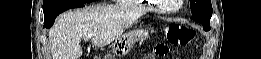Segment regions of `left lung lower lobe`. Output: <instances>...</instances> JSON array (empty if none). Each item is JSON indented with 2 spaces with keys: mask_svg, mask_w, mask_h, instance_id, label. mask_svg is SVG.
Returning a JSON list of instances; mask_svg holds the SVG:
<instances>
[{
  "mask_svg": "<svg viewBox=\"0 0 261 59\" xmlns=\"http://www.w3.org/2000/svg\"><path fill=\"white\" fill-rule=\"evenodd\" d=\"M192 19L195 20V21H198L199 23H201L203 25L205 31H209L210 30V23L204 22L202 20H198L196 18H192Z\"/></svg>",
  "mask_w": 261,
  "mask_h": 59,
  "instance_id": "obj_1",
  "label": "left lung lower lobe"
}]
</instances>
